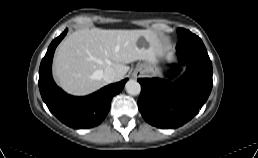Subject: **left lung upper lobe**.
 Segmentation results:
<instances>
[{
  "instance_id": "1",
  "label": "left lung upper lobe",
  "mask_w": 258,
  "mask_h": 158,
  "mask_svg": "<svg viewBox=\"0 0 258 158\" xmlns=\"http://www.w3.org/2000/svg\"><path fill=\"white\" fill-rule=\"evenodd\" d=\"M190 33L191 32L186 29H182V28L177 29V35H178L179 40L185 38Z\"/></svg>"
}]
</instances>
